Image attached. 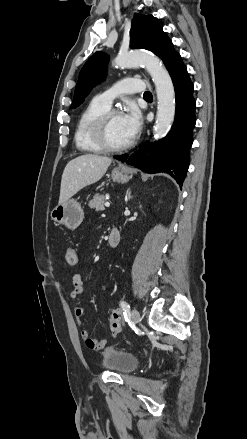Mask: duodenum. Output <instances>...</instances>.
<instances>
[{"mask_svg": "<svg viewBox=\"0 0 247 439\" xmlns=\"http://www.w3.org/2000/svg\"><path fill=\"white\" fill-rule=\"evenodd\" d=\"M121 241V234L117 227L112 226L108 235V244L110 247H117Z\"/></svg>", "mask_w": 247, "mask_h": 439, "instance_id": "duodenum-1", "label": "duodenum"}]
</instances>
